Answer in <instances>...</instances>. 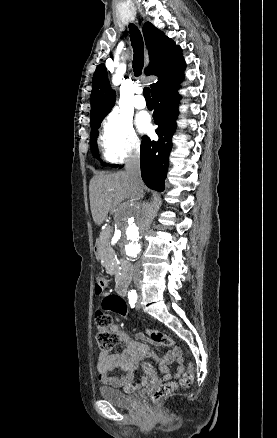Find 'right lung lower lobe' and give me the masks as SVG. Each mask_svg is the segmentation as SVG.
I'll list each match as a JSON object with an SVG mask.
<instances>
[{"label":"right lung lower lobe","mask_w":277,"mask_h":438,"mask_svg":"<svg viewBox=\"0 0 277 438\" xmlns=\"http://www.w3.org/2000/svg\"><path fill=\"white\" fill-rule=\"evenodd\" d=\"M183 79V72L160 83L152 91L155 124L158 141L145 136L141 142V174L145 184L157 191H163L167 175L168 157L172 148V135L176 129L180 96L177 90Z\"/></svg>","instance_id":"98d812e1"}]
</instances>
